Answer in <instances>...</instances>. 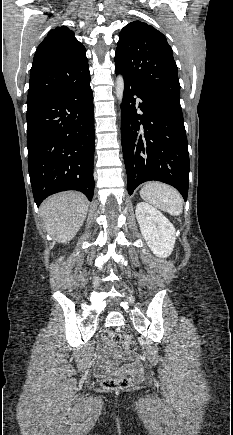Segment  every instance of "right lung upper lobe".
<instances>
[{
    "label": "right lung upper lobe",
    "instance_id": "right-lung-upper-lobe-1",
    "mask_svg": "<svg viewBox=\"0 0 233 435\" xmlns=\"http://www.w3.org/2000/svg\"><path fill=\"white\" fill-rule=\"evenodd\" d=\"M85 47L65 26L51 30L38 46L30 71L27 105L32 106L89 72Z\"/></svg>",
    "mask_w": 233,
    "mask_h": 435
}]
</instances>
